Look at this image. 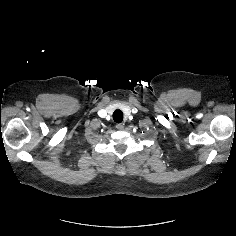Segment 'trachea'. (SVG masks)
<instances>
[{"label": "trachea", "instance_id": "1", "mask_svg": "<svg viewBox=\"0 0 236 236\" xmlns=\"http://www.w3.org/2000/svg\"><path fill=\"white\" fill-rule=\"evenodd\" d=\"M113 120L116 123H121L122 120H123V112L121 110L114 111V113H113Z\"/></svg>", "mask_w": 236, "mask_h": 236}]
</instances>
